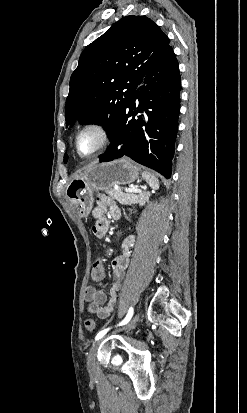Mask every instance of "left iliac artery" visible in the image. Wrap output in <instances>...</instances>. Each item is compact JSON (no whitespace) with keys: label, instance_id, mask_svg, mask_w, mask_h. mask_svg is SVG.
Masks as SVG:
<instances>
[{"label":"left iliac artery","instance_id":"obj_1","mask_svg":"<svg viewBox=\"0 0 247 413\" xmlns=\"http://www.w3.org/2000/svg\"><path fill=\"white\" fill-rule=\"evenodd\" d=\"M133 312H134L133 307H130L129 310H128V313H127V315H126V317L124 318V320H123L121 323H119L118 326H122V325L127 324V323L130 321V319L132 318ZM109 330H110V328H107V329H104V330L100 331V332L96 335L95 340L101 339Z\"/></svg>","mask_w":247,"mask_h":413}]
</instances>
